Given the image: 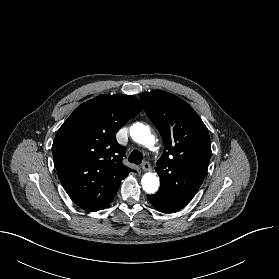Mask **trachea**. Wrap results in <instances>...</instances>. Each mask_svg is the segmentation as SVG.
Here are the masks:
<instances>
[{
  "label": "trachea",
  "instance_id": "1",
  "mask_svg": "<svg viewBox=\"0 0 279 279\" xmlns=\"http://www.w3.org/2000/svg\"><path fill=\"white\" fill-rule=\"evenodd\" d=\"M143 155L138 150H134L131 152L129 156V162L134 164H140L142 162Z\"/></svg>",
  "mask_w": 279,
  "mask_h": 279
}]
</instances>
